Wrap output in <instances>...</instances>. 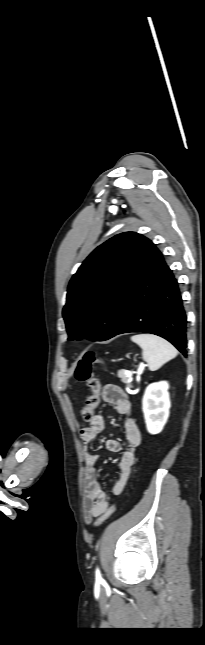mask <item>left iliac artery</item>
<instances>
[{"label":"left iliac artery","instance_id":"left-iliac-artery-1","mask_svg":"<svg viewBox=\"0 0 205 645\" xmlns=\"http://www.w3.org/2000/svg\"><path fill=\"white\" fill-rule=\"evenodd\" d=\"M96 580H97V581L102 580V578H101V574H100V571H99V569H98V568L96 569Z\"/></svg>","mask_w":205,"mask_h":645}]
</instances>
